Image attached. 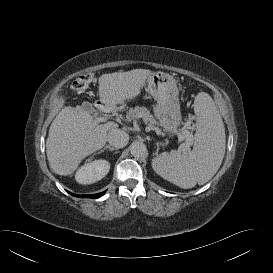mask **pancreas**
Instances as JSON below:
<instances>
[{"instance_id":"cf45deb5","label":"pancreas","mask_w":273,"mask_h":273,"mask_svg":"<svg viewBox=\"0 0 273 273\" xmlns=\"http://www.w3.org/2000/svg\"><path fill=\"white\" fill-rule=\"evenodd\" d=\"M126 118L129 121L133 119L142 118L145 123L149 122L150 128H157L156 120L150 114V111L146 107L137 106L135 108H130L129 111L127 112ZM183 137L186 140V142L190 144L192 143L193 136L189 131L184 130Z\"/></svg>"}]
</instances>
